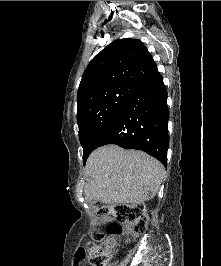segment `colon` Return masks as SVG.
<instances>
[{
    "label": "colon",
    "mask_w": 221,
    "mask_h": 266,
    "mask_svg": "<svg viewBox=\"0 0 221 266\" xmlns=\"http://www.w3.org/2000/svg\"><path fill=\"white\" fill-rule=\"evenodd\" d=\"M101 216H114L118 223H111L107 233H96L86 243L85 259L90 266H106L115 247V238L120 235L137 237L145 233L148 218L141 203L120 204L104 207L99 211Z\"/></svg>",
    "instance_id": "1"
}]
</instances>
